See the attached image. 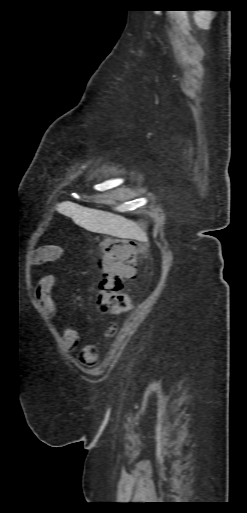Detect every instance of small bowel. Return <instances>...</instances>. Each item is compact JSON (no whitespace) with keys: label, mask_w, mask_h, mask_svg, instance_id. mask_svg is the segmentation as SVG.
<instances>
[{"label":"small bowel","mask_w":247,"mask_h":513,"mask_svg":"<svg viewBox=\"0 0 247 513\" xmlns=\"http://www.w3.org/2000/svg\"><path fill=\"white\" fill-rule=\"evenodd\" d=\"M58 252L56 246H46L40 248L32 255L30 265L32 267L51 261ZM55 287V278L52 275L42 277L35 288V299L39 304L42 313L46 319L52 320L56 315V306L52 298V291ZM115 332V327L110 325L106 331L107 337H112ZM80 340L79 333L73 328H66L62 335V344L65 350L74 349ZM99 347L97 345H88L83 351V360L85 363L93 362L97 357Z\"/></svg>","instance_id":"1"}]
</instances>
